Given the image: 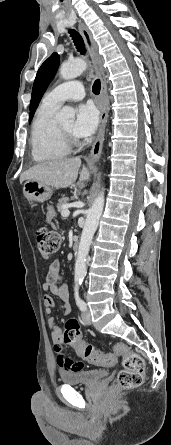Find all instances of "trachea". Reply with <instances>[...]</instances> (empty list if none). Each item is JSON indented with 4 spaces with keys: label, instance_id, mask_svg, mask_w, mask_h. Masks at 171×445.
<instances>
[{
    "label": "trachea",
    "instance_id": "trachea-1",
    "mask_svg": "<svg viewBox=\"0 0 171 445\" xmlns=\"http://www.w3.org/2000/svg\"><path fill=\"white\" fill-rule=\"evenodd\" d=\"M69 33L73 39V42L76 46L77 51H79L82 55H85L86 49H85L84 41H83L82 37L80 36V34L75 30H69ZM100 89H101V83H100V80L97 79L93 84L92 91L94 94L98 95L100 93Z\"/></svg>",
    "mask_w": 171,
    "mask_h": 445
}]
</instances>
